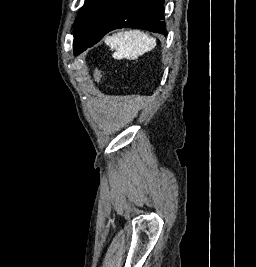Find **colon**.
Segmentation results:
<instances>
[{
	"mask_svg": "<svg viewBox=\"0 0 256 267\" xmlns=\"http://www.w3.org/2000/svg\"><path fill=\"white\" fill-rule=\"evenodd\" d=\"M95 78L97 81L102 79L101 71L98 68L95 69Z\"/></svg>",
	"mask_w": 256,
	"mask_h": 267,
	"instance_id": "colon-1",
	"label": "colon"
}]
</instances>
